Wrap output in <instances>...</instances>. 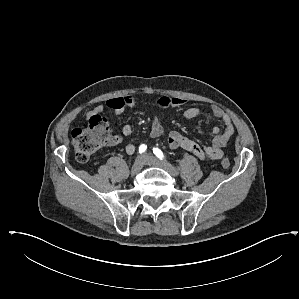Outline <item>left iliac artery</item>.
Wrapping results in <instances>:
<instances>
[{
	"label": "left iliac artery",
	"instance_id": "obj_1",
	"mask_svg": "<svg viewBox=\"0 0 299 299\" xmlns=\"http://www.w3.org/2000/svg\"><path fill=\"white\" fill-rule=\"evenodd\" d=\"M153 153L160 159V160H163L165 157H164V154L163 152L159 149V148H153Z\"/></svg>",
	"mask_w": 299,
	"mask_h": 299
}]
</instances>
